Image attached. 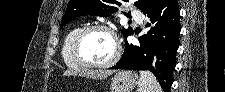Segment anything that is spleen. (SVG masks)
I'll list each match as a JSON object with an SVG mask.
<instances>
[{"mask_svg": "<svg viewBox=\"0 0 225 92\" xmlns=\"http://www.w3.org/2000/svg\"><path fill=\"white\" fill-rule=\"evenodd\" d=\"M137 92H162V88L151 72L140 71Z\"/></svg>", "mask_w": 225, "mask_h": 92, "instance_id": "1", "label": "spleen"}]
</instances>
